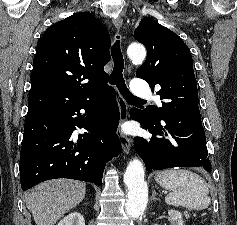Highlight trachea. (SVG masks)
<instances>
[{
	"label": "trachea",
	"instance_id": "obj_1",
	"mask_svg": "<svg viewBox=\"0 0 237 225\" xmlns=\"http://www.w3.org/2000/svg\"><path fill=\"white\" fill-rule=\"evenodd\" d=\"M116 38L117 40L114 42L111 48V55L114 62V67L109 78V83L111 85H116L121 95L127 101L144 103L145 102L144 100L137 98L136 96L131 94V92L129 91V89L127 88L125 84V81L123 78L124 60H123V56H122L120 44H119L120 36L117 35Z\"/></svg>",
	"mask_w": 237,
	"mask_h": 225
}]
</instances>
